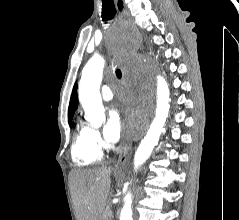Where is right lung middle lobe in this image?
I'll use <instances>...</instances> for the list:
<instances>
[{
	"label": "right lung middle lobe",
	"instance_id": "1",
	"mask_svg": "<svg viewBox=\"0 0 239 220\" xmlns=\"http://www.w3.org/2000/svg\"><path fill=\"white\" fill-rule=\"evenodd\" d=\"M71 122H72V119H69V124H71Z\"/></svg>",
	"mask_w": 239,
	"mask_h": 220
}]
</instances>
